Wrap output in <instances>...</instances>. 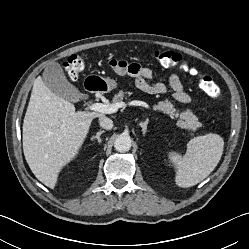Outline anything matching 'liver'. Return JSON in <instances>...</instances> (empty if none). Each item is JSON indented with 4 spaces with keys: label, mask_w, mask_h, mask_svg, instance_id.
Wrapping results in <instances>:
<instances>
[{
    "label": "liver",
    "mask_w": 249,
    "mask_h": 249,
    "mask_svg": "<svg viewBox=\"0 0 249 249\" xmlns=\"http://www.w3.org/2000/svg\"><path fill=\"white\" fill-rule=\"evenodd\" d=\"M102 113L75 111L37 78L23 122V151L35 177L56 186L61 169L78 154L94 118Z\"/></svg>",
    "instance_id": "6515ba94"
}]
</instances>
